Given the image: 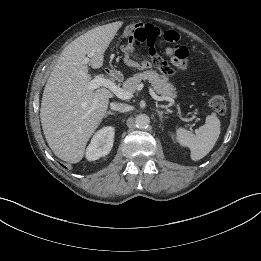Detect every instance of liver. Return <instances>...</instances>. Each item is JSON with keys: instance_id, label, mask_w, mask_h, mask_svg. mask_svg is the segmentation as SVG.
<instances>
[{"instance_id": "1", "label": "liver", "mask_w": 261, "mask_h": 261, "mask_svg": "<svg viewBox=\"0 0 261 261\" xmlns=\"http://www.w3.org/2000/svg\"><path fill=\"white\" fill-rule=\"evenodd\" d=\"M116 28H94L72 41L61 53L45 85L40 119L46 141L60 159L79 162L90 137L102 122L113 94L88 88L93 69L103 65L104 52ZM92 53L89 62H85Z\"/></svg>"}]
</instances>
